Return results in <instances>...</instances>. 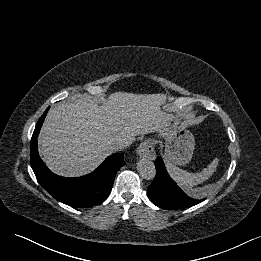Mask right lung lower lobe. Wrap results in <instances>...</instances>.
<instances>
[{
    "label": "right lung lower lobe",
    "mask_w": 261,
    "mask_h": 261,
    "mask_svg": "<svg viewBox=\"0 0 261 261\" xmlns=\"http://www.w3.org/2000/svg\"><path fill=\"white\" fill-rule=\"evenodd\" d=\"M48 110L38 120L31 139L30 161L38 182L55 199L67 205L89 208L101 204L111 192L117 171L125 165L123 155L112 154L86 176L66 178L52 173L39 157L37 148V137Z\"/></svg>",
    "instance_id": "right-lung-lower-lobe-1"
}]
</instances>
